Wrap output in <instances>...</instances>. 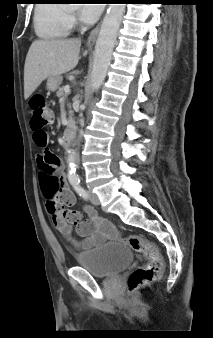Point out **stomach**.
Returning <instances> with one entry per match:
<instances>
[{"mask_svg": "<svg viewBox=\"0 0 213 338\" xmlns=\"http://www.w3.org/2000/svg\"><path fill=\"white\" fill-rule=\"evenodd\" d=\"M62 82V76L61 75H55V76H50L47 79V89L51 92H54L57 90L59 85Z\"/></svg>", "mask_w": 213, "mask_h": 338, "instance_id": "obj_1", "label": "stomach"}]
</instances>
